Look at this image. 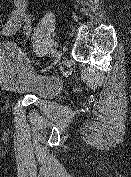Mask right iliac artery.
<instances>
[{
  "label": "right iliac artery",
  "instance_id": "82829eb1",
  "mask_svg": "<svg viewBox=\"0 0 131 177\" xmlns=\"http://www.w3.org/2000/svg\"><path fill=\"white\" fill-rule=\"evenodd\" d=\"M55 53H56V50L55 49H51L50 50V57L54 58L55 57Z\"/></svg>",
  "mask_w": 131,
  "mask_h": 177
}]
</instances>
